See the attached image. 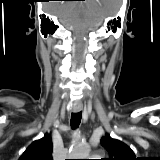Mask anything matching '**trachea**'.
Listing matches in <instances>:
<instances>
[{
    "mask_svg": "<svg viewBox=\"0 0 160 160\" xmlns=\"http://www.w3.org/2000/svg\"><path fill=\"white\" fill-rule=\"evenodd\" d=\"M82 112L72 113L71 114V120L70 124L73 129H76L79 127L81 122Z\"/></svg>",
    "mask_w": 160,
    "mask_h": 160,
    "instance_id": "obj_1",
    "label": "trachea"
}]
</instances>
